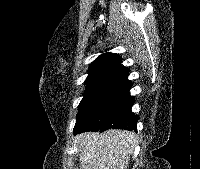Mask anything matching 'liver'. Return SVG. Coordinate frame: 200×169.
<instances>
[{
	"instance_id": "liver-1",
	"label": "liver",
	"mask_w": 200,
	"mask_h": 169,
	"mask_svg": "<svg viewBox=\"0 0 200 169\" xmlns=\"http://www.w3.org/2000/svg\"><path fill=\"white\" fill-rule=\"evenodd\" d=\"M136 140L134 132L119 129L76 136L80 169H127Z\"/></svg>"
}]
</instances>
